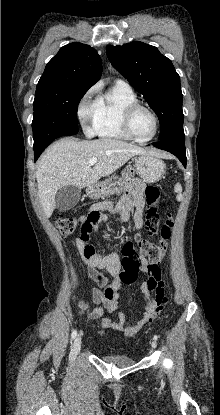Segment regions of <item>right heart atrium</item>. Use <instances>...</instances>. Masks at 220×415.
<instances>
[{"instance_id": "obj_1", "label": "right heart atrium", "mask_w": 220, "mask_h": 415, "mask_svg": "<svg viewBox=\"0 0 220 415\" xmlns=\"http://www.w3.org/2000/svg\"><path fill=\"white\" fill-rule=\"evenodd\" d=\"M94 90H90L82 99L78 106V118L82 125L83 130L87 134L94 133V124L97 115V100H92L91 97Z\"/></svg>"}]
</instances>
